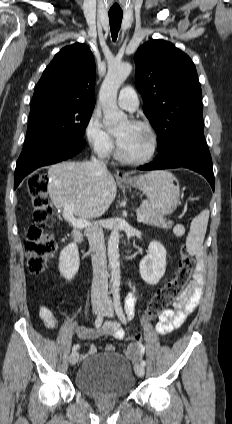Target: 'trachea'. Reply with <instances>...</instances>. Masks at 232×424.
<instances>
[{"instance_id": "3493384b", "label": "trachea", "mask_w": 232, "mask_h": 424, "mask_svg": "<svg viewBox=\"0 0 232 424\" xmlns=\"http://www.w3.org/2000/svg\"><path fill=\"white\" fill-rule=\"evenodd\" d=\"M110 29L113 41H116L121 26L123 12H109Z\"/></svg>"}]
</instances>
